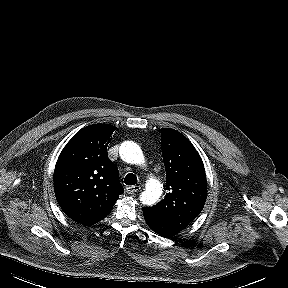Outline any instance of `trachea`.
<instances>
[{
  "instance_id": "trachea-1",
  "label": "trachea",
  "mask_w": 288,
  "mask_h": 288,
  "mask_svg": "<svg viewBox=\"0 0 288 288\" xmlns=\"http://www.w3.org/2000/svg\"><path fill=\"white\" fill-rule=\"evenodd\" d=\"M124 183L126 185H135L137 184V177L133 173H129L124 178Z\"/></svg>"
}]
</instances>
